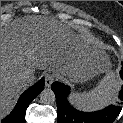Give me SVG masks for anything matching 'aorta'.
Listing matches in <instances>:
<instances>
[{
  "label": "aorta",
  "mask_w": 123,
  "mask_h": 123,
  "mask_svg": "<svg viewBox=\"0 0 123 123\" xmlns=\"http://www.w3.org/2000/svg\"><path fill=\"white\" fill-rule=\"evenodd\" d=\"M40 101L43 104H51L55 101V94L54 92L47 88L44 89L41 93H40Z\"/></svg>",
  "instance_id": "1"
}]
</instances>
